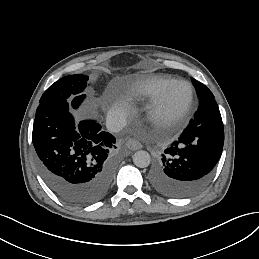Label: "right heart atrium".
<instances>
[{
	"label": "right heart atrium",
	"mask_w": 259,
	"mask_h": 259,
	"mask_svg": "<svg viewBox=\"0 0 259 259\" xmlns=\"http://www.w3.org/2000/svg\"><path fill=\"white\" fill-rule=\"evenodd\" d=\"M112 100L113 111L110 116L118 119L121 122H126L134 111L133 102L127 96L123 95L113 97Z\"/></svg>",
	"instance_id": "1"
}]
</instances>
